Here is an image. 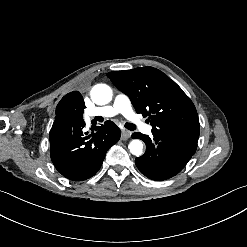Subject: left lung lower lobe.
I'll return each mask as SVG.
<instances>
[{
  "label": "left lung lower lobe",
  "mask_w": 247,
  "mask_h": 247,
  "mask_svg": "<svg viewBox=\"0 0 247 247\" xmlns=\"http://www.w3.org/2000/svg\"><path fill=\"white\" fill-rule=\"evenodd\" d=\"M134 139H141L146 144V152L135 159L139 171L146 177L162 181L178 174L193 154L172 143L161 141L154 136V141L139 132L133 133Z\"/></svg>",
  "instance_id": "1"
}]
</instances>
